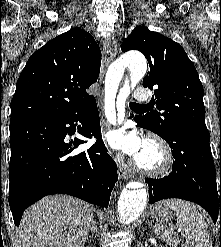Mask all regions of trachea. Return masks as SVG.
Returning a JSON list of instances; mask_svg holds the SVG:
<instances>
[{"label":"trachea","instance_id":"3493384b","mask_svg":"<svg viewBox=\"0 0 221 247\" xmlns=\"http://www.w3.org/2000/svg\"><path fill=\"white\" fill-rule=\"evenodd\" d=\"M130 108H132L133 110H137V109H147L148 106L147 105H143V104H137L135 102H130L129 103Z\"/></svg>","mask_w":221,"mask_h":247}]
</instances>
